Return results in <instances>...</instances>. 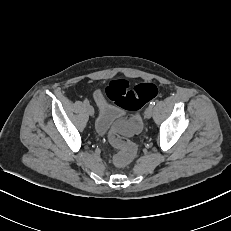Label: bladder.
<instances>
[{
    "mask_svg": "<svg viewBox=\"0 0 231 231\" xmlns=\"http://www.w3.org/2000/svg\"><path fill=\"white\" fill-rule=\"evenodd\" d=\"M98 105L96 118L94 122V131L97 136H105L115 122L124 116V112L109 103H107L99 92L95 95Z\"/></svg>",
    "mask_w": 231,
    "mask_h": 231,
    "instance_id": "1",
    "label": "bladder"
}]
</instances>
